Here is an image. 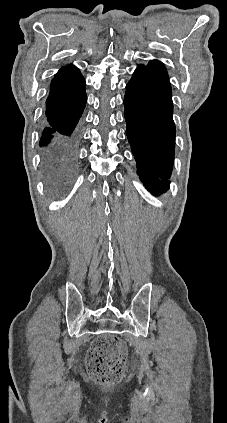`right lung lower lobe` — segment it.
I'll return each instance as SVG.
<instances>
[{
    "label": "right lung lower lobe",
    "mask_w": 227,
    "mask_h": 423,
    "mask_svg": "<svg viewBox=\"0 0 227 423\" xmlns=\"http://www.w3.org/2000/svg\"><path fill=\"white\" fill-rule=\"evenodd\" d=\"M86 101L85 90L70 95L50 90L46 101L48 124L40 139L42 170L50 187H65L74 175L80 144L77 124Z\"/></svg>",
    "instance_id": "obj_1"
}]
</instances>
